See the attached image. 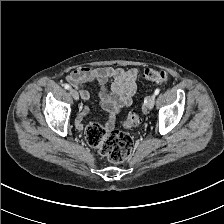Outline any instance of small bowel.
<instances>
[{
    "label": "small bowel",
    "mask_w": 224,
    "mask_h": 224,
    "mask_svg": "<svg viewBox=\"0 0 224 224\" xmlns=\"http://www.w3.org/2000/svg\"><path fill=\"white\" fill-rule=\"evenodd\" d=\"M139 75L140 71L137 68L83 67L72 71L67 79L79 90L84 102H87L90 98V93L84 85L86 83H97L102 107L110 113H118L131 105ZM87 114L88 107L84 104L76 118V126L79 129L83 128Z\"/></svg>",
    "instance_id": "1"
}]
</instances>
